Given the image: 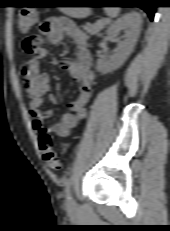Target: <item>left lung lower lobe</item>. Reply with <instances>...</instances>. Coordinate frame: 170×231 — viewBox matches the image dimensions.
<instances>
[{
	"instance_id": "left-lung-lower-lobe-1",
	"label": "left lung lower lobe",
	"mask_w": 170,
	"mask_h": 231,
	"mask_svg": "<svg viewBox=\"0 0 170 231\" xmlns=\"http://www.w3.org/2000/svg\"><path fill=\"white\" fill-rule=\"evenodd\" d=\"M114 2L106 3H119L123 4L124 2H130L131 4H137L136 7L142 8L149 16L150 20H153L155 13V5L153 0H112Z\"/></svg>"
}]
</instances>
